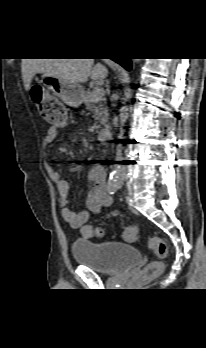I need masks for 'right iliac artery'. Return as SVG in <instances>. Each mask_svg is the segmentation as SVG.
I'll return each mask as SVG.
<instances>
[{
	"label": "right iliac artery",
	"mask_w": 206,
	"mask_h": 348,
	"mask_svg": "<svg viewBox=\"0 0 206 348\" xmlns=\"http://www.w3.org/2000/svg\"><path fill=\"white\" fill-rule=\"evenodd\" d=\"M118 175L116 172L110 174V178L107 185V191L109 194H114L117 190Z\"/></svg>",
	"instance_id": "82829eb1"
}]
</instances>
